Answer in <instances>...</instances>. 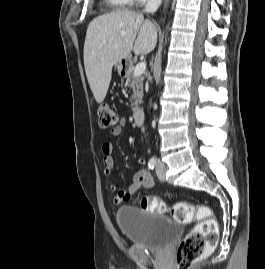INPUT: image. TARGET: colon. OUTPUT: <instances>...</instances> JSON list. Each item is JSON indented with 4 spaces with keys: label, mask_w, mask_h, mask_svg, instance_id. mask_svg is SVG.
<instances>
[{
    "label": "colon",
    "mask_w": 265,
    "mask_h": 269,
    "mask_svg": "<svg viewBox=\"0 0 265 269\" xmlns=\"http://www.w3.org/2000/svg\"><path fill=\"white\" fill-rule=\"evenodd\" d=\"M99 125L103 129H112L118 125V115L115 110L101 104L97 108ZM141 207L151 213H162L166 206L163 200L156 196L147 195L140 199ZM172 217L179 223L198 222L180 242L177 249L176 269H189L190 265L200 259L207 248L216 244L218 225L209 208L192 205L188 202H177L172 208Z\"/></svg>",
    "instance_id": "colon-1"
}]
</instances>
